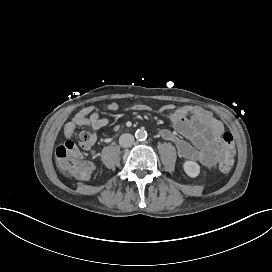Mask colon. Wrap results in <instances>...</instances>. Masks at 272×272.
Instances as JSON below:
<instances>
[{
	"mask_svg": "<svg viewBox=\"0 0 272 272\" xmlns=\"http://www.w3.org/2000/svg\"><path fill=\"white\" fill-rule=\"evenodd\" d=\"M84 114L82 111L77 117L80 119ZM73 124L76 126L78 123L75 121ZM80 145L84 149H90L94 145V140L90 136L84 135L80 140ZM55 155L59 163V170L63 174L73 173V180L77 184H82L86 180V175L90 172L91 167L82 161L79 151L76 150L73 131L67 130L66 140L56 147ZM213 156L220 158V171L228 172L232 169L235 159V144L232 133L225 132L222 134L221 146L215 151Z\"/></svg>",
	"mask_w": 272,
	"mask_h": 272,
	"instance_id": "5ec220e1",
	"label": "colon"
}]
</instances>
